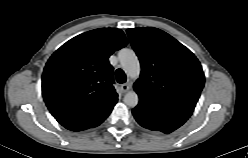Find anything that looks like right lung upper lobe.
Wrapping results in <instances>:
<instances>
[{
    "label": "right lung upper lobe",
    "instance_id": "cb5924a9",
    "mask_svg": "<svg viewBox=\"0 0 248 158\" xmlns=\"http://www.w3.org/2000/svg\"><path fill=\"white\" fill-rule=\"evenodd\" d=\"M126 45L120 29H95L72 38L50 57L42 95L61 125L81 131L107 118L118 100L108 58Z\"/></svg>",
    "mask_w": 248,
    "mask_h": 158
}]
</instances>
